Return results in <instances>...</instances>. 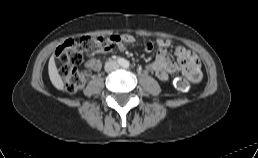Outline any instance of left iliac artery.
<instances>
[{
	"label": "left iliac artery",
	"mask_w": 258,
	"mask_h": 158,
	"mask_svg": "<svg viewBox=\"0 0 258 158\" xmlns=\"http://www.w3.org/2000/svg\"><path fill=\"white\" fill-rule=\"evenodd\" d=\"M124 67H125V68H128V67H129V63H128L127 61L124 63Z\"/></svg>",
	"instance_id": "44dca946"
}]
</instances>
